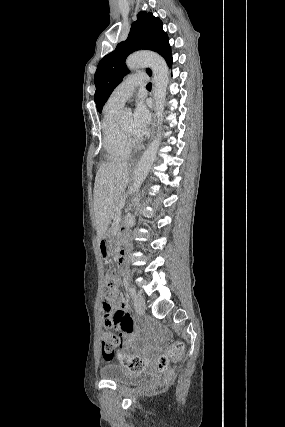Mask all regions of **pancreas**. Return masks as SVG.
I'll return each instance as SVG.
<instances>
[{"label": "pancreas", "mask_w": 285, "mask_h": 427, "mask_svg": "<svg viewBox=\"0 0 285 427\" xmlns=\"http://www.w3.org/2000/svg\"><path fill=\"white\" fill-rule=\"evenodd\" d=\"M120 212H117L114 216V222L112 225V230H115L118 228V221H119Z\"/></svg>", "instance_id": "cf45deb5"}]
</instances>
